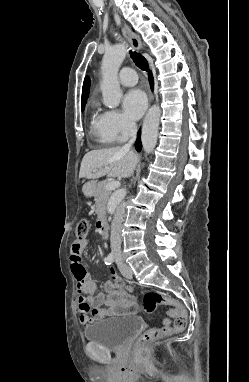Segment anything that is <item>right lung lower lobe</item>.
<instances>
[{
  "label": "right lung lower lobe",
  "mask_w": 249,
  "mask_h": 382,
  "mask_svg": "<svg viewBox=\"0 0 249 382\" xmlns=\"http://www.w3.org/2000/svg\"><path fill=\"white\" fill-rule=\"evenodd\" d=\"M149 81H150L151 89H153L154 83H153V77H152L151 72H149ZM139 135H140V130H139V132H138V137H139ZM135 148H136V150H137L138 152L141 151L142 144H141V142L139 141V138H138V140H137L136 143H135Z\"/></svg>",
  "instance_id": "1"
}]
</instances>
